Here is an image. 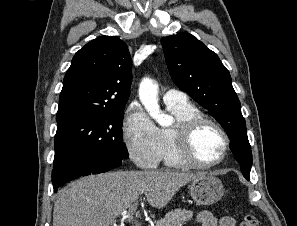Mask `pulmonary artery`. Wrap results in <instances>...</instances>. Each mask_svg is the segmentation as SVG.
<instances>
[{"label":"pulmonary artery","mask_w":297,"mask_h":226,"mask_svg":"<svg viewBox=\"0 0 297 226\" xmlns=\"http://www.w3.org/2000/svg\"><path fill=\"white\" fill-rule=\"evenodd\" d=\"M163 101L165 104H181L188 103V96L185 92L177 89H169L163 95Z\"/></svg>","instance_id":"obj_1"}]
</instances>
